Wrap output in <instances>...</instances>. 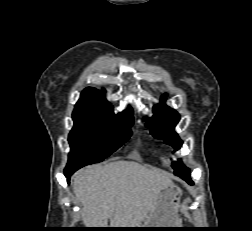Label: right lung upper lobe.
<instances>
[{
    "label": "right lung upper lobe",
    "mask_w": 252,
    "mask_h": 231,
    "mask_svg": "<svg viewBox=\"0 0 252 231\" xmlns=\"http://www.w3.org/2000/svg\"><path fill=\"white\" fill-rule=\"evenodd\" d=\"M74 113H98L109 114L122 118L133 119L132 110L128 109L121 113L114 114L112 105L105 99L104 94L95 88H85L81 93V98L75 105Z\"/></svg>",
    "instance_id": "right-lung-upper-lobe-1"
}]
</instances>
